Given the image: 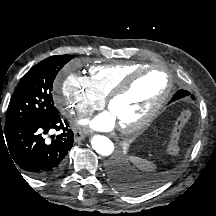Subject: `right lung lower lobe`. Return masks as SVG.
I'll list each match as a JSON object with an SVG mask.
<instances>
[{
	"label": "right lung lower lobe",
	"instance_id": "98d812e1",
	"mask_svg": "<svg viewBox=\"0 0 216 216\" xmlns=\"http://www.w3.org/2000/svg\"><path fill=\"white\" fill-rule=\"evenodd\" d=\"M67 121L60 115L52 118L37 119L0 129V147L20 168L36 178H51L62 171L65 157L71 149L73 132ZM61 130L57 136L47 141L44 134L50 130Z\"/></svg>",
	"mask_w": 216,
	"mask_h": 216
}]
</instances>
